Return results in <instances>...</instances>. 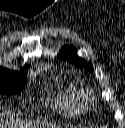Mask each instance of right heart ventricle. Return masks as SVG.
I'll return each instance as SVG.
<instances>
[{"instance_id":"right-heart-ventricle-1","label":"right heart ventricle","mask_w":125,"mask_h":128,"mask_svg":"<svg viewBox=\"0 0 125 128\" xmlns=\"http://www.w3.org/2000/svg\"><path fill=\"white\" fill-rule=\"evenodd\" d=\"M87 92L73 82L59 85L57 93L51 98L52 107L59 113L76 117L86 108Z\"/></svg>"}]
</instances>
